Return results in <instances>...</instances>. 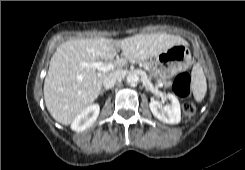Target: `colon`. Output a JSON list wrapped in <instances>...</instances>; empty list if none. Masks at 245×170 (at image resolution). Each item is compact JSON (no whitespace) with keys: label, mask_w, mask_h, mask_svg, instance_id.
Listing matches in <instances>:
<instances>
[{"label":"colon","mask_w":245,"mask_h":170,"mask_svg":"<svg viewBox=\"0 0 245 170\" xmlns=\"http://www.w3.org/2000/svg\"><path fill=\"white\" fill-rule=\"evenodd\" d=\"M190 75L187 72L180 73L174 80L172 91L178 97L184 99L182 112L185 119H190L195 113V105L189 100L190 96Z\"/></svg>","instance_id":"obj_1"}]
</instances>
